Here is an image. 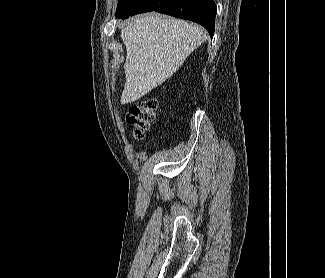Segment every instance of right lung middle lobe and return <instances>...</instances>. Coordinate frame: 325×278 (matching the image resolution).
I'll return each instance as SVG.
<instances>
[{
    "instance_id": "dd1d6c3e",
    "label": "right lung middle lobe",
    "mask_w": 325,
    "mask_h": 278,
    "mask_svg": "<svg viewBox=\"0 0 325 278\" xmlns=\"http://www.w3.org/2000/svg\"><path fill=\"white\" fill-rule=\"evenodd\" d=\"M135 0H119L115 16L121 18L134 10Z\"/></svg>"
}]
</instances>
